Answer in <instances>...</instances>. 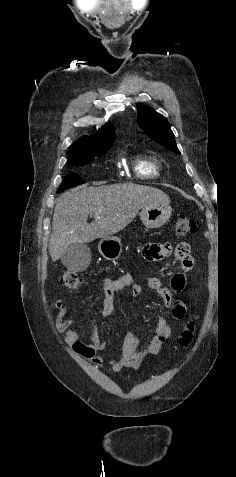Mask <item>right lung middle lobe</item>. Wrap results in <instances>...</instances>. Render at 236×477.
Instances as JSON below:
<instances>
[{"mask_svg": "<svg viewBox=\"0 0 236 477\" xmlns=\"http://www.w3.org/2000/svg\"><path fill=\"white\" fill-rule=\"evenodd\" d=\"M109 149L110 148H104V149L98 150V151H96L94 153H91V154H88V155L78 156V157H75L73 159H70V162L72 164H75V165H84V164L89 163L91 160H93L94 157L103 156L106 152L109 151ZM84 182L85 181L82 180L79 175L70 174L62 181V183H61V185L58 189V193H60L61 191L65 190V189L71 188L73 186L83 184Z\"/></svg>", "mask_w": 236, "mask_h": 477, "instance_id": "right-lung-middle-lobe-1", "label": "right lung middle lobe"}]
</instances>
